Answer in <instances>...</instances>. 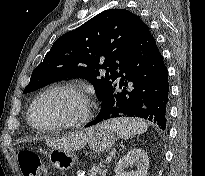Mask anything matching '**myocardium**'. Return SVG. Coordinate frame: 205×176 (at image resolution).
I'll return each mask as SVG.
<instances>
[{
  "mask_svg": "<svg viewBox=\"0 0 205 176\" xmlns=\"http://www.w3.org/2000/svg\"><path fill=\"white\" fill-rule=\"evenodd\" d=\"M54 92H67L77 97L80 100L82 104V108H83L81 115L74 120H67V121L59 122V123L48 125V126L37 125L33 118L36 105L44 97ZM90 117H91V102H90L89 97L79 87L73 84H68V83H62V84H56V85L50 86L44 91H42L41 93H39L33 100L29 108V111H28V121L30 125L34 129L38 131H44V132L57 130V129L79 128L83 126L84 124H86L89 121Z\"/></svg>",
  "mask_w": 205,
  "mask_h": 176,
  "instance_id": "obj_1",
  "label": "myocardium"
}]
</instances>
